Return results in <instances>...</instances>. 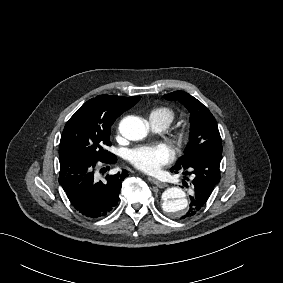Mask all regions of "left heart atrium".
I'll list each match as a JSON object with an SVG mask.
<instances>
[{
    "instance_id": "left-heart-atrium-1",
    "label": "left heart atrium",
    "mask_w": 283,
    "mask_h": 283,
    "mask_svg": "<svg viewBox=\"0 0 283 283\" xmlns=\"http://www.w3.org/2000/svg\"><path fill=\"white\" fill-rule=\"evenodd\" d=\"M173 150L165 145H146L131 150L129 160L138 170L147 174H156L174 159Z\"/></svg>"
}]
</instances>
